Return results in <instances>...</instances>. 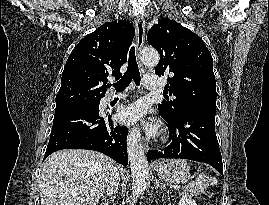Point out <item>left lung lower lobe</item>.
Returning <instances> with one entry per match:
<instances>
[{"label": "left lung lower lobe", "instance_id": "0a47b994", "mask_svg": "<svg viewBox=\"0 0 269 205\" xmlns=\"http://www.w3.org/2000/svg\"><path fill=\"white\" fill-rule=\"evenodd\" d=\"M169 125L171 144L164 150H150L148 162L159 158H181L201 161L223 175L222 156L215 133L216 110L195 108L170 118L161 113Z\"/></svg>", "mask_w": 269, "mask_h": 205}]
</instances>
